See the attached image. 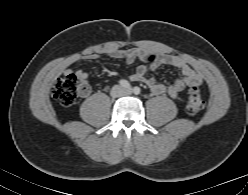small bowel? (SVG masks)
I'll use <instances>...</instances> for the list:
<instances>
[{"instance_id": "small-bowel-1", "label": "small bowel", "mask_w": 248, "mask_h": 195, "mask_svg": "<svg viewBox=\"0 0 248 195\" xmlns=\"http://www.w3.org/2000/svg\"><path fill=\"white\" fill-rule=\"evenodd\" d=\"M137 55L138 51L135 49H130L125 52H120L117 50H111L108 52V56L111 58H122L127 62L133 61ZM99 58V54H90L86 57L89 61H97ZM161 65L178 69L180 76L169 85L165 83H158L154 78L147 77V73L149 71L154 70ZM71 71V69H67L66 73H70ZM75 74L84 82L88 77L87 72L81 69L75 71ZM131 78L134 81L144 82L149 87L150 91L155 95H163L167 93L172 98H177L188 87L201 85L203 81L201 74L196 72L178 56L170 54H162L157 56L156 59L148 66L142 65L136 67L131 73ZM88 93L89 87L86 84V89L82 94L85 96Z\"/></svg>"}]
</instances>
